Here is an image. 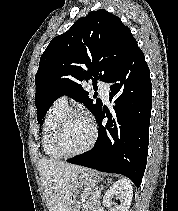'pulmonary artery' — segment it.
<instances>
[{"mask_svg":"<svg viewBox=\"0 0 178 211\" xmlns=\"http://www.w3.org/2000/svg\"><path fill=\"white\" fill-rule=\"evenodd\" d=\"M98 87H99V91H100V96L104 101H108L109 99V91H110V87L107 83L103 82V81H98ZM64 103H67V99L66 97H62L61 99Z\"/></svg>","mask_w":178,"mask_h":211,"instance_id":"pulmonary-artery-1","label":"pulmonary artery"}]
</instances>
